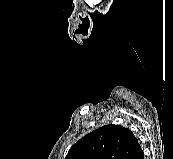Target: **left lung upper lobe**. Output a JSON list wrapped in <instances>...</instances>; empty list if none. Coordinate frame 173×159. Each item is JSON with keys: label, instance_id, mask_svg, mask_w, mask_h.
<instances>
[{"label": "left lung upper lobe", "instance_id": "obj_1", "mask_svg": "<svg viewBox=\"0 0 173 159\" xmlns=\"http://www.w3.org/2000/svg\"><path fill=\"white\" fill-rule=\"evenodd\" d=\"M140 151V144L129 129L105 125L77 141L65 159H134Z\"/></svg>", "mask_w": 173, "mask_h": 159}]
</instances>
